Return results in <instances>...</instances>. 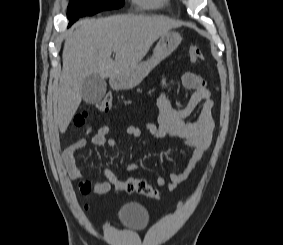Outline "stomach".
<instances>
[{
    "label": "stomach",
    "mask_w": 283,
    "mask_h": 245,
    "mask_svg": "<svg viewBox=\"0 0 283 245\" xmlns=\"http://www.w3.org/2000/svg\"><path fill=\"white\" fill-rule=\"evenodd\" d=\"M182 37L176 32L161 36L151 58L139 62L134 68L114 77L113 85L119 89H131L137 86L162 60L167 58L181 43Z\"/></svg>",
    "instance_id": "stomach-1"
}]
</instances>
